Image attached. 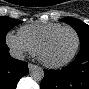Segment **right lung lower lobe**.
Masks as SVG:
<instances>
[{
    "instance_id": "1",
    "label": "right lung lower lobe",
    "mask_w": 89,
    "mask_h": 89,
    "mask_svg": "<svg viewBox=\"0 0 89 89\" xmlns=\"http://www.w3.org/2000/svg\"><path fill=\"white\" fill-rule=\"evenodd\" d=\"M6 43L0 45V89H15L19 79L29 73L27 63L9 54Z\"/></svg>"
}]
</instances>
